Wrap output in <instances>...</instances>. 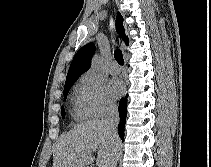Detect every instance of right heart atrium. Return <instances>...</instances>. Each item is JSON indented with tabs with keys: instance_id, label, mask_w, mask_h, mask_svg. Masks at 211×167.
Listing matches in <instances>:
<instances>
[{
	"instance_id": "d8ad5b80",
	"label": "right heart atrium",
	"mask_w": 211,
	"mask_h": 167,
	"mask_svg": "<svg viewBox=\"0 0 211 167\" xmlns=\"http://www.w3.org/2000/svg\"><path fill=\"white\" fill-rule=\"evenodd\" d=\"M80 107L89 117H103L115 110V103L107 94L103 80L94 72L84 73L77 84Z\"/></svg>"
}]
</instances>
